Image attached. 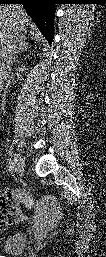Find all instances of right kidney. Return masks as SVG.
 Listing matches in <instances>:
<instances>
[{
	"label": "right kidney",
	"mask_w": 106,
	"mask_h": 257,
	"mask_svg": "<svg viewBox=\"0 0 106 257\" xmlns=\"http://www.w3.org/2000/svg\"><path fill=\"white\" fill-rule=\"evenodd\" d=\"M17 71L19 72L17 75H18V77H20L21 76L20 72L22 73L24 71V67L23 66L18 67Z\"/></svg>",
	"instance_id": "1"
}]
</instances>
